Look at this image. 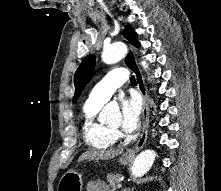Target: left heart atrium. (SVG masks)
<instances>
[{
  "mask_svg": "<svg viewBox=\"0 0 221 191\" xmlns=\"http://www.w3.org/2000/svg\"><path fill=\"white\" fill-rule=\"evenodd\" d=\"M140 123V103L136 97H125L121 101L120 125L123 131L132 133Z\"/></svg>",
  "mask_w": 221,
  "mask_h": 191,
  "instance_id": "39dd6f15",
  "label": "left heart atrium"
}]
</instances>
